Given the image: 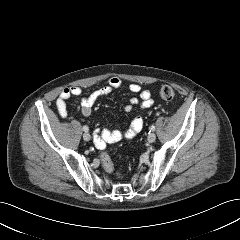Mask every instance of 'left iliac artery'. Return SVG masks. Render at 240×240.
<instances>
[{
    "mask_svg": "<svg viewBox=\"0 0 240 240\" xmlns=\"http://www.w3.org/2000/svg\"><path fill=\"white\" fill-rule=\"evenodd\" d=\"M149 130H150V132L151 131L153 132L155 130V126L154 125L150 126Z\"/></svg>",
    "mask_w": 240,
    "mask_h": 240,
    "instance_id": "left-iliac-artery-1",
    "label": "left iliac artery"
}]
</instances>
